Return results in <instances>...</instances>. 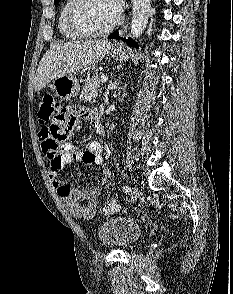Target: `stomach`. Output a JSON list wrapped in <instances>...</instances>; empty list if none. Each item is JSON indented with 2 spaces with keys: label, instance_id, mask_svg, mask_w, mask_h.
<instances>
[{
  "label": "stomach",
  "instance_id": "obj_1",
  "mask_svg": "<svg viewBox=\"0 0 233 294\" xmlns=\"http://www.w3.org/2000/svg\"><path fill=\"white\" fill-rule=\"evenodd\" d=\"M112 58L118 61H125L129 55L126 49L120 45H115L109 52ZM56 95L61 99L68 100L75 96L80 91V84L73 73H67L53 80L51 85Z\"/></svg>",
  "mask_w": 233,
  "mask_h": 294
}]
</instances>
